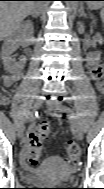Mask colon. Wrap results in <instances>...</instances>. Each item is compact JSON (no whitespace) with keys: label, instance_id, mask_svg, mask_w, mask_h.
Instances as JSON below:
<instances>
[{"label":"colon","instance_id":"5ec220e1","mask_svg":"<svg viewBox=\"0 0 104 189\" xmlns=\"http://www.w3.org/2000/svg\"><path fill=\"white\" fill-rule=\"evenodd\" d=\"M93 72L97 77H101L103 71L101 67H96ZM50 134L51 127L48 123L43 122L37 126L31 137L29 149L25 156L28 166L35 167L38 164L41 152L46 141H48ZM66 154L70 162L76 163L80 154L78 146L74 142H69L66 146Z\"/></svg>","mask_w":104,"mask_h":189}]
</instances>
